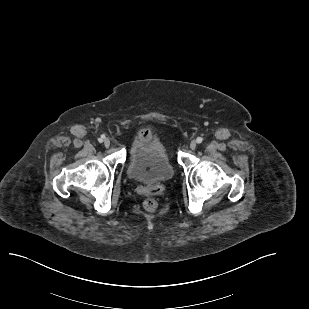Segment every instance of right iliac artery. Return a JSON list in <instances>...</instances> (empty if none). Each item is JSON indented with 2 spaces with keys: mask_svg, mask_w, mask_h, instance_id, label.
<instances>
[{
  "mask_svg": "<svg viewBox=\"0 0 309 309\" xmlns=\"http://www.w3.org/2000/svg\"><path fill=\"white\" fill-rule=\"evenodd\" d=\"M104 138H105V136L102 135V136L98 139V141L101 143V142H103Z\"/></svg>",
  "mask_w": 309,
  "mask_h": 309,
  "instance_id": "obj_1",
  "label": "right iliac artery"
}]
</instances>
